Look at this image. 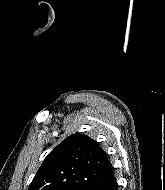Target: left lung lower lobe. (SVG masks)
Returning a JSON list of instances; mask_svg holds the SVG:
<instances>
[{
    "label": "left lung lower lobe",
    "mask_w": 165,
    "mask_h": 190,
    "mask_svg": "<svg viewBox=\"0 0 165 190\" xmlns=\"http://www.w3.org/2000/svg\"><path fill=\"white\" fill-rule=\"evenodd\" d=\"M117 189L118 185L113 170L97 190H117Z\"/></svg>",
    "instance_id": "obj_1"
}]
</instances>
